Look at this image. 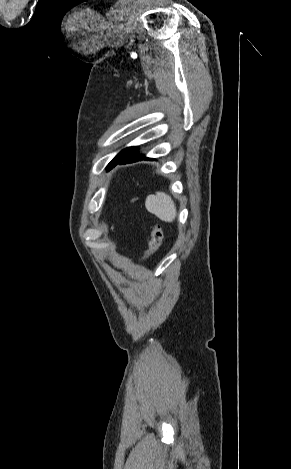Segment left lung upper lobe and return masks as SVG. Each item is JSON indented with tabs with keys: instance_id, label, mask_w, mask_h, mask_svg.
<instances>
[{
	"instance_id": "obj_1",
	"label": "left lung upper lobe",
	"mask_w": 291,
	"mask_h": 469,
	"mask_svg": "<svg viewBox=\"0 0 291 469\" xmlns=\"http://www.w3.org/2000/svg\"><path fill=\"white\" fill-rule=\"evenodd\" d=\"M132 147H128V148H125L124 150H122L121 152H119L115 158L108 164L107 166V169L110 170L111 167L114 166L115 162L120 158L122 157L125 153H127Z\"/></svg>"
}]
</instances>
